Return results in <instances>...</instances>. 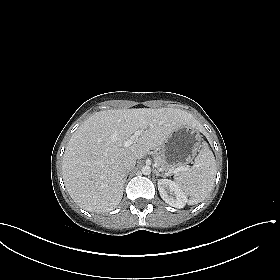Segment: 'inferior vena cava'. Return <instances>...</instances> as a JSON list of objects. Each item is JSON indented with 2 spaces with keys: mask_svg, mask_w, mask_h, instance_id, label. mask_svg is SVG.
Here are the masks:
<instances>
[{
  "mask_svg": "<svg viewBox=\"0 0 280 280\" xmlns=\"http://www.w3.org/2000/svg\"><path fill=\"white\" fill-rule=\"evenodd\" d=\"M136 165V159L132 156H127L123 160V166L126 172H129L131 169H133Z\"/></svg>",
  "mask_w": 280,
  "mask_h": 280,
  "instance_id": "obj_1",
  "label": "inferior vena cava"
}]
</instances>
